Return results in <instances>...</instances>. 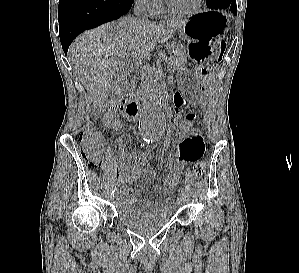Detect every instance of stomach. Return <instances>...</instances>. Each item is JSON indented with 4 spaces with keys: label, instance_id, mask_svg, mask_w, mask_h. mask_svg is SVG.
<instances>
[{
    "label": "stomach",
    "instance_id": "0dacf381",
    "mask_svg": "<svg viewBox=\"0 0 299 273\" xmlns=\"http://www.w3.org/2000/svg\"><path fill=\"white\" fill-rule=\"evenodd\" d=\"M229 20L220 11H203L187 20L179 32L186 43L191 70L180 69L178 79L188 96L185 101L200 103L210 91L213 74H220L214 61L216 43L227 31Z\"/></svg>",
    "mask_w": 299,
    "mask_h": 273
}]
</instances>
